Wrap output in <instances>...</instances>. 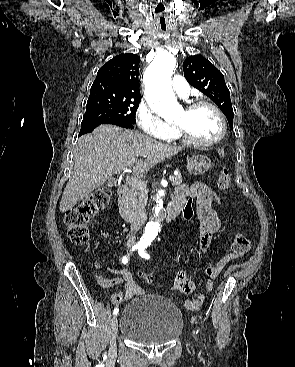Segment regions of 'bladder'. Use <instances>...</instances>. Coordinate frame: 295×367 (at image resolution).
<instances>
[{
    "label": "bladder",
    "mask_w": 295,
    "mask_h": 367,
    "mask_svg": "<svg viewBox=\"0 0 295 367\" xmlns=\"http://www.w3.org/2000/svg\"><path fill=\"white\" fill-rule=\"evenodd\" d=\"M183 316L169 299L154 294L130 300L121 311L122 335L142 345H160L175 340L182 332Z\"/></svg>",
    "instance_id": "bladder-1"
}]
</instances>
